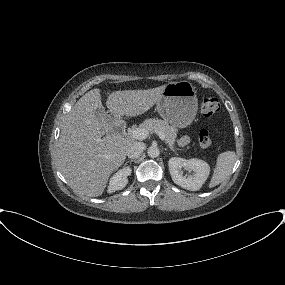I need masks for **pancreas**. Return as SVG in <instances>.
Returning a JSON list of instances; mask_svg holds the SVG:
<instances>
[{"label": "pancreas", "instance_id": "cf45deb5", "mask_svg": "<svg viewBox=\"0 0 285 285\" xmlns=\"http://www.w3.org/2000/svg\"><path fill=\"white\" fill-rule=\"evenodd\" d=\"M139 128H145L149 132H161L165 135V142L171 150H175V141L177 137V129L174 126H170L166 121L161 119H147Z\"/></svg>", "mask_w": 285, "mask_h": 285}]
</instances>
